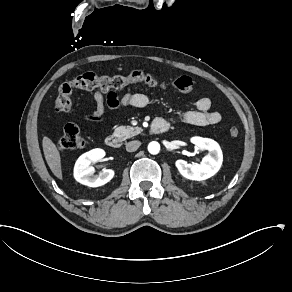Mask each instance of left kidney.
<instances>
[{"instance_id":"left-kidney-1","label":"left kidney","mask_w":292,"mask_h":292,"mask_svg":"<svg viewBox=\"0 0 292 292\" xmlns=\"http://www.w3.org/2000/svg\"><path fill=\"white\" fill-rule=\"evenodd\" d=\"M191 142L200 150H208L209 153L200 164H189L185 160H177L176 167L182 176L190 180H206L215 175L221 168L223 154L219 144L209 138L192 137Z\"/></svg>"}]
</instances>
